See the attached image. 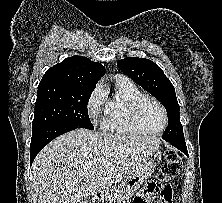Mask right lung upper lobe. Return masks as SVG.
Wrapping results in <instances>:
<instances>
[{
	"instance_id": "cb5924a9",
	"label": "right lung upper lobe",
	"mask_w": 222,
	"mask_h": 203,
	"mask_svg": "<svg viewBox=\"0 0 222 203\" xmlns=\"http://www.w3.org/2000/svg\"><path fill=\"white\" fill-rule=\"evenodd\" d=\"M105 68L87 57L72 56L49 68L39 83L38 91L50 87L95 88Z\"/></svg>"
}]
</instances>
